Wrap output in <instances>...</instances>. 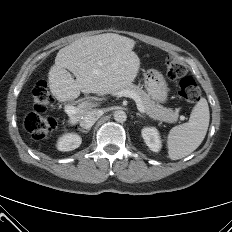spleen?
Masks as SVG:
<instances>
[{"label":"spleen","mask_w":232,"mask_h":232,"mask_svg":"<svg viewBox=\"0 0 232 232\" xmlns=\"http://www.w3.org/2000/svg\"><path fill=\"white\" fill-rule=\"evenodd\" d=\"M210 121V112L205 98L194 106L189 121L173 127L167 137L168 156L178 160L196 150L205 138Z\"/></svg>","instance_id":"spleen-1"}]
</instances>
